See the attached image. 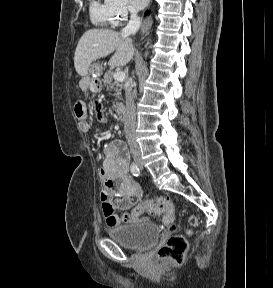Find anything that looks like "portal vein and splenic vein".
Masks as SVG:
<instances>
[{
  "label": "portal vein and splenic vein",
  "mask_w": 273,
  "mask_h": 288,
  "mask_svg": "<svg viewBox=\"0 0 273 288\" xmlns=\"http://www.w3.org/2000/svg\"><path fill=\"white\" fill-rule=\"evenodd\" d=\"M113 78L117 82H123L125 79V73L122 71L116 72L113 74Z\"/></svg>",
  "instance_id": "18ae733b"
}]
</instances>
